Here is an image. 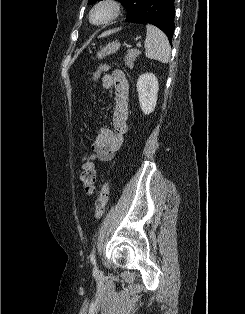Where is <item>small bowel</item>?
<instances>
[{
	"mask_svg": "<svg viewBox=\"0 0 245 314\" xmlns=\"http://www.w3.org/2000/svg\"><path fill=\"white\" fill-rule=\"evenodd\" d=\"M105 89L114 88L115 103L113 114V129L102 127L94 138L91 149L93 156L106 163L113 159L123 144L128 131V92L129 85L123 70H115L102 78Z\"/></svg>",
	"mask_w": 245,
	"mask_h": 314,
	"instance_id": "small-bowel-1",
	"label": "small bowel"
}]
</instances>
